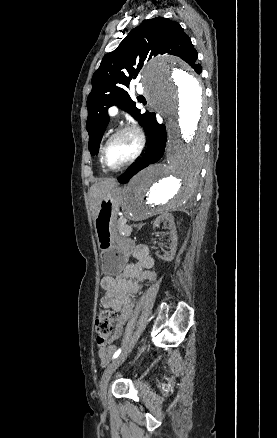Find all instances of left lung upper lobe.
Masks as SVG:
<instances>
[{"mask_svg": "<svg viewBox=\"0 0 277 438\" xmlns=\"http://www.w3.org/2000/svg\"><path fill=\"white\" fill-rule=\"evenodd\" d=\"M159 54L175 55L186 61L197 72L198 53L180 24L163 17L143 21L132 29L118 48L104 56L92 77V91L88 95L89 150L98 152L101 137L108 123L107 109L118 105L129 112L148 131L154 113H141L128 94L130 81L135 79L146 60Z\"/></svg>", "mask_w": 277, "mask_h": 438, "instance_id": "1", "label": "left lung upper lobe"}]
</instances>
